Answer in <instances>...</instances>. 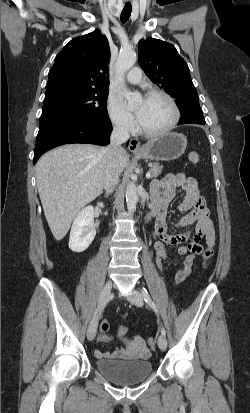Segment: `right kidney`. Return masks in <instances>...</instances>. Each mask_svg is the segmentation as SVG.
I'll list each match as a JSON object with an SVG mask.
<instances>
[{"label": "right kidney", "instance_id": "ca27d5eb", "mask_svg": "<svg viewBox=\"0 0 250 413\" xmlns=\"http://www.w3.org/2000/svg\"><path fill=\"white\" fill-rule=\"evenodd\" d=\"M98 206L103 208V203H98ZM96 235L94 226V208L93 206H87L83 208L75 217L69 239V248L73 252L85 251Z\"/></svg>", "mask_w": 250, "mask_h": 413}]
</instances>
